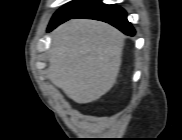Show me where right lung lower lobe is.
Wrapping results in <instances>:
<instances>
[{
  "label": "right lung lower lobe",
  "instance_id": "98d812e1",
  "mask_svg": "<svg viewBox=\"0 0 182 140\" xmlns=\"http://www.w3.org/2000/svg\"><path fill=\"white\" fill-rule=\"evenodd\" d=\"M71 18H89L100 20L115 26L127 35L133 36L135 34V30L128 22L126 12L123 8L116 5H106L103 4L101 1H95L91 5L74 14L65 21ZM63 22L50 25L48 27V31H51Z\"/></svg>",
  "mask_w": 182,
  "mask_h": 140
}]
</instances>
